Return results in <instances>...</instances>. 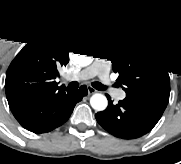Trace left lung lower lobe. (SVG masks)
Here are the masks:
<instances>
[{"instance_id":"obj_1","label":"left lung lower lobe","mask_w":181,"mask_h":164,"mask_svg":"<svg viewBox=\"0 0 181 164\" xmlns=\"http://www.w3.org/2000/svg\"><path fill=\"white\" fill-rule=\"evenodd\" d=\"M106 96L108 107L95 117L106 131L122 139H135L151 131L165 110L128 98L113 104L110 96Z\"/></svg>"}]
</instances>
